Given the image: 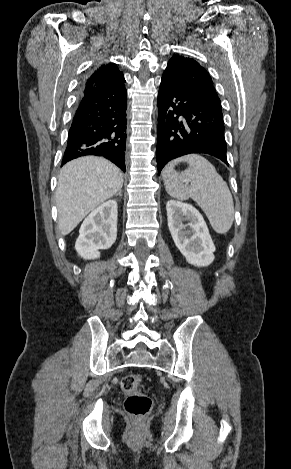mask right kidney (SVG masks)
<instances>
[{
    "mask_svg": "<svg viewBox=\"0 0 291 469\" xmlns=\"http://www.w3.org/2000/svg\"><path fill=\"white\" fill-rule=\"evenodd\" d=\"M117 208V202L109 200L83 221L75 243V249L82 258H99V250L109 249L114 244L117 238Z\"/></svg>",
    "mask_w": 291,
    "mask_h": 469,
    "instance_id": "ca27d5eb",
    "label": "right kidney"
}]
</instances>
